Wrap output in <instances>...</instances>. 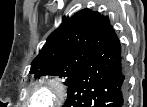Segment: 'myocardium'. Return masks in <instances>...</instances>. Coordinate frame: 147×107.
I'll return each mask as SVG.
<instances>
[{
  "label": "myocardium",
  "instance_id": "obj_1",
  "mask_svg": "<svg viewBox=\"0 0 147 107\" xmlns=\"http://www.w3.org/2000/svg\"><path fill=\"white\" fill-rule=\"evenodd\" d=\"M46 91L48 94L44 107H55L60 105L66 98L67 89L65 84L57 77H42L29 85L26 93V103H32L34 94L38 91Z\"/></svg>",
  "mask_w": 147,
  "mask_h": 107
}]
</instances>
